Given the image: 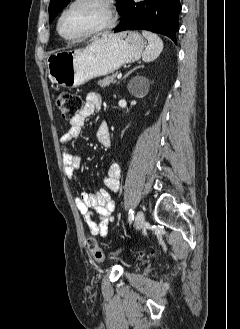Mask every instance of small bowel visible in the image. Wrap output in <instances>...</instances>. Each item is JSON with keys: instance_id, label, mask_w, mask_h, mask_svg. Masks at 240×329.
I'll return each mask as SVG.
<instances>
[{"instance_id": "c3829d8e", "label": "small bowel", "mask_w": 240, "mask_h": 329, "mask_svg": "<svg viewBox=\"0 0 240 329\" xmlns=\"http://www.w3.org/2000/svg\"><path fill=\"white\" fill-rule=\"evenodd\" d=\"M102 107V99L98 93L90 92L80 112L70 122L69 130L61 137L63 151V167L66 176L72 179L80 167V158L70 150V143L81 135L86 120ZM97 140L101 146L108 148L111 145L109 126L101 122L97 130ZM121 177L120 166L112 163L108 166L103 178L104 188L94 192H82L76 200L78 211L82 214L85 223L94 236H108V226L113 221L115 203L110 198L109 191L116 192L119 189ZM97 216L100 221L94 220Z\"/></svg>"}]
</instances>
